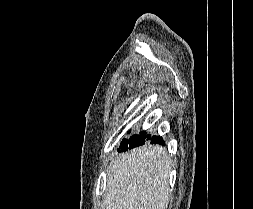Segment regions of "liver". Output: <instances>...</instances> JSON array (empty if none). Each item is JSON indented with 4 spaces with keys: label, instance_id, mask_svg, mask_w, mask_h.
Instances as JSON below:
<instances>
[{
    "label": "liver",
    "instance_id": "liver-1",
    "mask_svg": "<svg viewBox=\"0 0 253 209\" xmlns=\"http://www.w3.org/2000/svg\"><path fill=\"white\" fill-rule=\"evenodd\" d=\"M171 159L159 145H144L110 163L105 209H166Z\"/></svg>",
    "mask_w": 253,
    "mask_h": 209
}]
</instances>
